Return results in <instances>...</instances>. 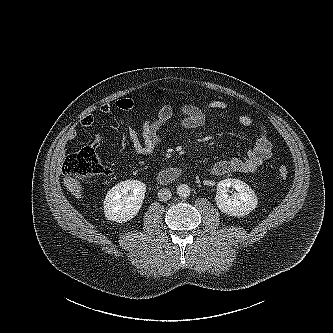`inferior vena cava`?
I'll return each instance as SVG.
<instances>
[{"label":"inferior vena cava","mask_w":333,"mask_h":333,"mask_svg":"<svg viewBox=\"0 0 333 333\" xmlns=\"http://www.w3.org/2000/svg\"><path fill=\"white\" fill-rule=\"evenodd\" d=\"M172 197V194L169 189L162 188L158 192V198L160 201H167Z\"/></svg>","instance_id":"inferior-vena-cava-1"}]
</instances>
